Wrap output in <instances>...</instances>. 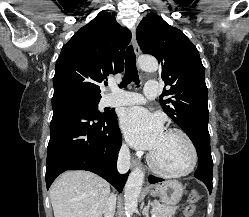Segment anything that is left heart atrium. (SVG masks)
<instances>
[{
  "label": "left heart atrium",
  "mask_w": 249,
  "mask_h": 217,
  "mask_svg": "<svg viewBox=\"0 0 249 217\" xmlns=\"http://www.w3.org/2000/svg\"><path fill=\"white\" fill-rule=\"evenodd\" d=\"M120 125L129 144L137 149H156L164 135L161 119L144 108L124 111Z\"/></svg>",
  "instance_id": "39dd6f15"
}]
</instances>
